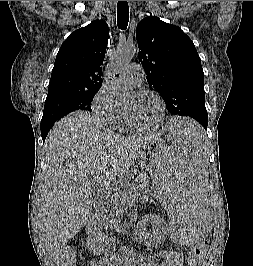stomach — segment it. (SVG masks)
<instances>
[{
  "instance_id": "stomach-1",
  "label": "stomach",
  "mask_w": 253,
  "mask_h": 266,
  "mask_svg": "<svg viewBox=\"0 0 253 266\" xmlns=\"http://www.w3.org/2000/svg\"><path fill=\"white\" fill-rule=\"evenodd\" d=\"M164 153H168L165 142L160 139L153 141L139 158L140 166L152 176H155L157 170L155 169V160H161Z\"/></svg>"
}]
</instances>
